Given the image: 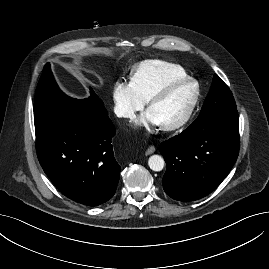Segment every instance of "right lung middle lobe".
Segmentation results:
<instances>
[{
  "mask_svg": "<svg viewBox=\"0 0 269 269\" xmlns=\"http://www.w3.org/2000/svg\"><path fill=\"white\" fill-rule=\"evenodd\" d=\"M91 96L77 100L65 95L57 86L49 67H44L35 92L34 124L36 137L68 124L83 109L108 116L102 100L90 89Z\"/></svg>",
  "mask_w": 269,
  "mask_h": 269,
  "instance_id": "1",
  "label": "right lung middle lobe"
}]
</instances>
